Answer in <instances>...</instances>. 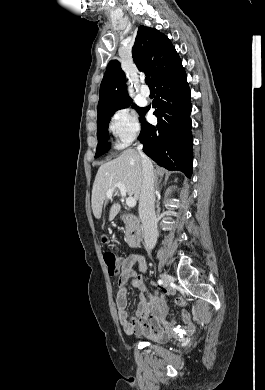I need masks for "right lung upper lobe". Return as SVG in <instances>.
I'll list each match as a JSON object with an SVG mask.
<instances>
[{
	"label": "right lung upper lobe",
	"instance_id": "cb5924a9",
	"mask_svg": "<svg viewBox=\"0 0 265 390\" xmlns=\"http://www.w3.org/2000/svg\"><path fill=\"white\" fill-rule=\"evenodd\" d=\"M132 53L138 69L151 75L154 83L181 61L167 36L143 25L138 28ZM125 83V74L120 63L117 60H111L100 85L98 116L131 100Z\"/></svg>",
	"mask_w": 265,
	"mask_h": 390
}]
</instances>
